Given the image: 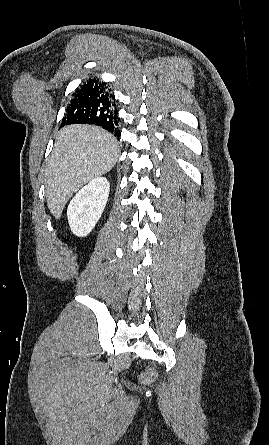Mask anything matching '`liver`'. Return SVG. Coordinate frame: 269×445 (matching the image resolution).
Instances as JSON below:
<instances>
[{"instance_id": "obj_1", "label": "liver", "mask_w": 269, "mask_h": 445, "mask_svg": "<svg viewBox=\"0 0 269 445\" xmlns=\"http://www.w3.org/2000/svg\"><path fill=\"white\" fill-rule=\"evenodd\" d=\"M115 138L96 126L75 124L60 130L45 168L46 200L56 219L82 186L109 172L116 164Z\"/></svg>"}]
</instances>
